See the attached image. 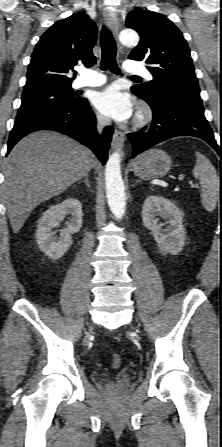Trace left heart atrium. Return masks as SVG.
<instances>
[{
    "instance_id": "left-heart-atrium-1",
    "label": "left heart atrium",
    "mask_w": 222,
    "mask_h": 447,
    "mask_svg": "<svg viewBox=\"0 0 222 447\" xmlns=\"http://www.w3.org/2000/svg\"><path fill=\"white\" fill-rule=\"evenodd\" d=\"M94 104L102 114L119 122L127 121L134 112L130 96L116 86H110L97 93Z\"/></svg>"
}]
</instances>
